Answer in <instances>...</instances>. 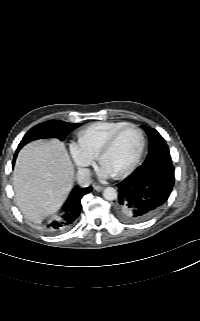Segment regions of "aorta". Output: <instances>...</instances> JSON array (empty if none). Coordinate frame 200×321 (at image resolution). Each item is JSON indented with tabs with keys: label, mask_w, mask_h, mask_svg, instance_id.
<instances>
[{
	"label": "aorta",
	"mask_w": 200,
	"mask_h": 321,
	"mask_svg": "<svg viewBox=\"0 0 200 321\" xmlns=\"http://www.w3.org/2000/svg\"><path fill=\"white\" fill-rule=\"evenodd\" d=\"M103 197L108 200L112 201L117 198V191L113 187H106L103 191Z\"/></svg>",
	"instance_id": "obj_1"
}]
</instances>
